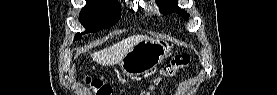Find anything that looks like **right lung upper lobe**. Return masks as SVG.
I'll return each mask as SVG.
<instances>
[{"instance_id":"right-lung-upper-lobe-1","label":"right lung upper lobe","mask_w":277,"mask_h":95,"mask_svg":"<svg viewBox=\"0 0 277 95\" xmlns=\"http://www.w3.org/2000/svg\"><path fill=\"white\" fill-rule=\"evenodd\" d=\"M86 1H94V0H86ZM103 1H112V2H117L116 0H103Z\"/></svg>"}]
</instances>
